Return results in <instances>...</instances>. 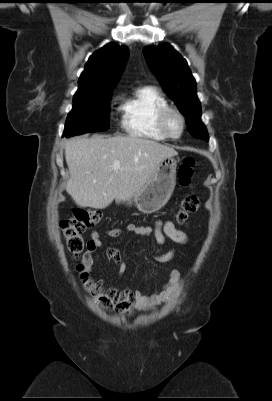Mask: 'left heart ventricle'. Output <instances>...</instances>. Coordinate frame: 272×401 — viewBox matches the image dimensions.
Returning a JSON list of instances; mask_svg holds the SVG:
<instances>
[{
	"label": "left heart ventricle",
	"instance_id": "b2bd125f",
	"mask_svg": "<svg viewBox=\"0 0 272 401\" xmlns=\"http://www.w3.org/2000/svg\"><path fill=\"white\" fill-rule=\"evenodd\" d=\"M169 126H170V130L173 134H178L179 130H180V123H179V119L172 115L169 119Z\"/></svg>",
	"mask_w": 272,
	"mask_h": 401
}]
</instances>
